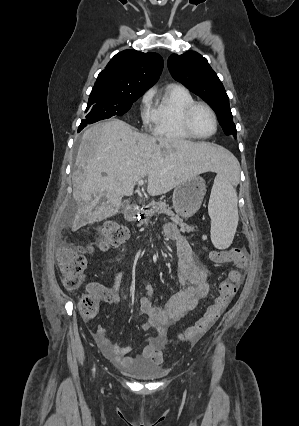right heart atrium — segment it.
Masks as SVG:
<instances>
[{
    "mask_svg": "<svg viewBox=\"0 0 299 426\" xmlns=\"http://www.w3.org/2000/svg\"><path fill=\"white\" fill-rule=\"evenodd\" d=\"M153 92L147 91L141 99L140 116L145 126H151L154 123V109L151 107Z\"/></svg>",
    "mask_w": 299,
    "mask_h": 426,
    "instance_id": "obj_1",
    "label": "right heart atrium"
}]
</instances>
